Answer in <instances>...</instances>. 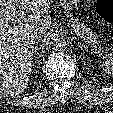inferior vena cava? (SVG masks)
I'll list each match as a JSON object with an SVG mask.
<instances>
[{
	"instance_id": "inferior-vena-cava-1",
	"label": "inferior vena cava",
	"mask_w": 113,
	"mask_h": 113,
	"mask_svg": "<svg viewBox=\"0 0 113 113\" xmlns=\"http://www.w3.org/2000/svg\"><path fill=\"white\" fill-rule=\"evenodd\" d=\"M47 30V28L45 27H39L35 30V36L38 37L39 35H41L42 33H44Z\"/></svg>"
}]
</instances>
